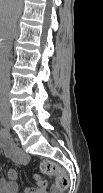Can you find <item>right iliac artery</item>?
<instances>
[{
    "label": "right iliac artery",
    "instance_id": "82829eb1",
    "mask_svg": "<svg viewBox=\"0 0 103 193\" xmlns=\"http://www.w3.org/2000/svg\"><path fill=\"white\" fill-rule=\"evenodd\" d=\"M0 134L2 137H4L5 139H9L10 138V133L7 129L5 128H1Z\"/></svg>",
    "mask_w": 103,
    "mask_h": 193
}]
</instances>
